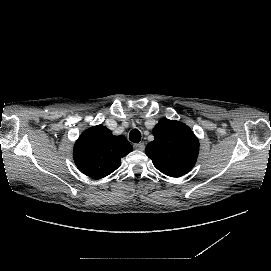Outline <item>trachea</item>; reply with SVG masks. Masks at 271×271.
<instances>
[{
    "instance_id": "1",
    "label": "trachea",
    "mask_w": 271,
    "mask_h": 271,
    "mask_svg": "<svg viewBox=\"0 0 271 271\" xmlns=\"http://www.w3.org/2000/svg\"><path fill=\"white\" fill-rule=\"evenodd\" d=\"M130 141L138 143L141 140V133L137 129H133L129 134Z\"/></svg>"
}]
</instances>
